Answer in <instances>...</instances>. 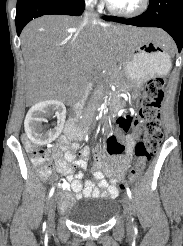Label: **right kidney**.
Returning a JSON list of instances; mask_svg holds the SVG:
<instances>
[{
  "instance_id": "ca27d5eb",
  "label": "right kidney",
  "mask_w": 183,
  "mask_h": 246,
  "mask_svg": "<svg viewBox=\"0 0 183 246\" xmlns=\"http://www.w3.org/2000/svg\"><path fill=\"white\" fill-rule=\"evenodd\" d=\"M56 112L60 121L58 123L57 131H43L41 126L42 122L46 121V118ZM66 118L65 106L57 100H47L35 104L28 111L24 127L28 138L36 145H45L53 141L63 128Z\"/></svg>"
}]
</instances>
